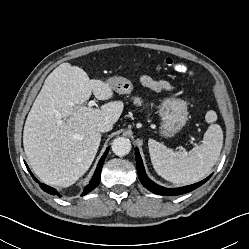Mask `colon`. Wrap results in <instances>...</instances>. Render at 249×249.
Returning a JSON list of instances; mask_svg holds the SVG:
<instances>
[{
	"mask_svg": "<svg viewBox=\"0 0 249 249\" xmlns=\"http://www.w3.org/2000/svg\"><path fill=\"white\" fill-rule=\"evenodd\" d=\"M165 64L168 67H171L180 73H186V72L190 71V67L187 63L182 62V61H176L172 58H166Z\"/></svg>",
	"mask_w": 249,
	"mask_h": 249,
	"instance_id": "obj_1",
	"label": "colon"
}]
</instances>
